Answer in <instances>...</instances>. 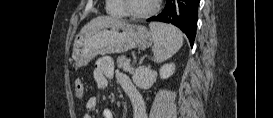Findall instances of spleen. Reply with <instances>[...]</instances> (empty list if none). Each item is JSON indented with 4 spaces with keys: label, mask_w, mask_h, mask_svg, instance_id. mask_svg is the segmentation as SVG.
<instances>
[{
    "label": "spleen",
    "mask_w": 273,
    "mask_h": 118,
    "mask_svg": "<svg viewBox=\"0 0 273 118\" xmlns=\"http://www.w3.org/2000/svg\"><path fill=\"white\" fill-rule=\"evenodd\" d=\"M149 27L154 43V58L157 62H164L182 47L183 35L174 26L154 22Z\"/></svg>",
    "instance_id": "obj_1"
}]
</instances>
